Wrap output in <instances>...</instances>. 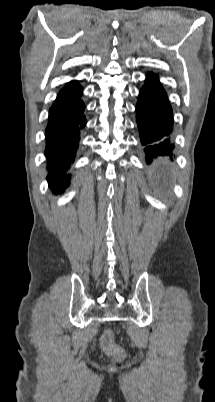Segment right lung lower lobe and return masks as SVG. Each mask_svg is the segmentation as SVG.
<instances>
[{"label":"right lung lower lobe","instance_id":"right-lung-lower-lobe-1","mask_svg":"<svg viewBox=\"0 0 215 402\" xmlns=\"http://www.w3.org/2000/svg\"><path fill=\"white\" fill-rule=\"evenodd\" d=\"M81 91L77 81L64 87L49 110L45 156L49 171L47 179L55 192H62L69 185L70 176L66 170L74 161L80 131L87 123Z\"/></svg>","mask_w":215,"mask_h":402}]
</instances>
